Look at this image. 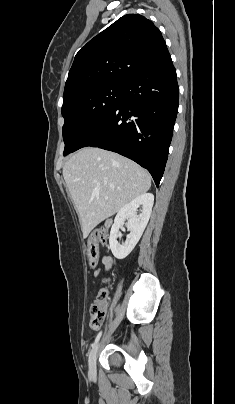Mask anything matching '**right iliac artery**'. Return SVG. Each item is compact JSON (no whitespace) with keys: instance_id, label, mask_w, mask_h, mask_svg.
Segmentation results:
<instances>
[{"instance_id":"1","label":"right iliac artery","mask_w":235,"mask_h":404,"mask_svg":"<svg viewBox=\"0 0 235 404\" xmlns=\"http://www.w3.org/2000/svg\"><path fill=\"white\" fill-rule=\"evenodd\" d=\"M101 335H102V331H100V332L97 334V336H96L94 342L91 344V347H92V348L98 343V341H99Z\"/></svg>"}]
</instances>
